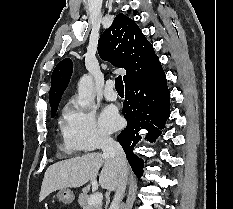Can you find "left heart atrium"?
I'll list each match as a JSON object with an SVG mask.
<instances>
[{
  "label": "left heart atrium",
  "mask_w": 233,
  "mask_h": 209,
  "mask_svg": "<svg viewBox=\"0 0 233 209\" xmlns=\"http://www.w3.org/2000/svg\"><path fill=\"white\" fill-rule=\"evenodd\" d=\"M100 121L102 126L108 131L116 130L121 124V119L117 109L113 106H107L104 108L101 113Z\"/></svg>",
  "instance_id": "1"
}]
</instances>
